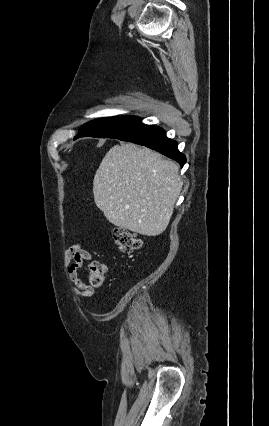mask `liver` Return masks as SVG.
I'll use <instances>...</instances> for the list:
<instances>
[{
  "mask_svg": "<svg viewBox=\"0 0 269 426\" xmlns=\"http://www.w3.org/2000/svg\"><path fill=\"white\" fill-rule=\"evenodd\" d=\"M183 186L179 166L133 143L113 146L93 180L96 206L115 226L157 236L165 231Z\"/></svg>",
  "mask_w": 269,
  "mask_h": 426,
  "instance_id": "6515ba94",
  "label": "liver"
}]
</instances>
